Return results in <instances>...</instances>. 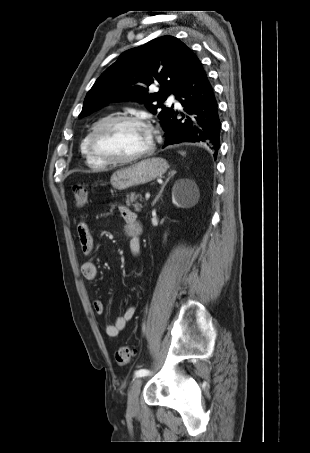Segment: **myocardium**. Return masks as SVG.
<instances>
[{
	"instance_id": "1",
	"label": "myocardium",
	"mask_w": 310,
	"mask_h": 453,
	"mask_svg": "<svg viewBox=\"0 0 310 453\" xmlns=\"http://www.w3.org/2000/svg\"><path fill=\"white\" fill-rule=\"evenodd\" d=\"M122 122L134 123V124H138V125L145 127L149 131V135H150L149 146L146 149L138 152L137 154H134L132 156L125 157V158H114V157H111V156H108V155L102 153L97 147V138H98L99 134L101 132L107 130L111 126L118 124V123H122ZM151 132H152V128H151L150 124L148 122H146L145 119H143L140 116H135V115L111 116V117L103 119L93 128V130L89 136L88 145H89V149H90L92 155L96 159H98L99 161H101L105 164H114V165L129 164V163L138 161L144 157H147L153 153V151L155 149V141H154V138H153Z\"/></svg>"
}]
</instances>
